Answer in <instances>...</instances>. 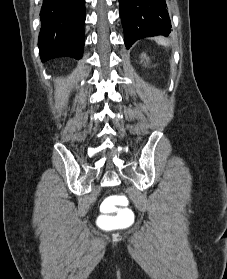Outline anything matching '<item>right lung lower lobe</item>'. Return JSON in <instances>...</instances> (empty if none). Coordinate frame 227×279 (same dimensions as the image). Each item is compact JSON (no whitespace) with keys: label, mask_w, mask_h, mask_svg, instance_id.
Returning a JSON list of instances; mask_svg holds the SVG:
<instances>
[{"label":"right lung lower lobe","mask_w":227,"mask_h":279,"mask_svg":"<svg viewBox=\"0 0 227 279\" xmlns=\"http://www.w3.org/2000/svg\"><path fill=\"white\" fill-rule=\"evenodd\" d=\"M85 18V0H43L38 39L42 62L82 57Z\"/></svg>","instance_id":"1"}]
</instances>
